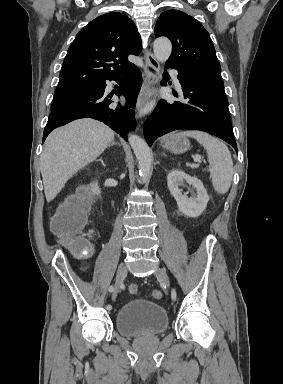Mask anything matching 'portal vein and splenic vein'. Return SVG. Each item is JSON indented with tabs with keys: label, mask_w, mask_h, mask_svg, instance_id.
<instances>
[{
	"label": "portal vein and splenic vein",
	"mask_w": 283,
	"mask_h": 384,
	"mask_svg": "<svg viewBox=\"0 0 283 384\" xmlns=\"http://www.w3.org/2000/svg\"><path fill=\"white\" fill-rule=\"evenodd\" d=\"M192 158H194V162H200L201 160V156H199V154H196V156H192ZM197 168H199V164H197Z\"/></svg>",
	"instance_id": "obj_1"
}]
</instances>
